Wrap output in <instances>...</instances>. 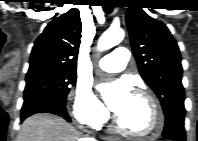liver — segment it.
Segmentation results:
<instances>
[{"mask_svg": "<svg viewBox=\"0 0 198 141\" xmlns=\"http://www.w3.org/2000/svg\"><path fill=\"white\" fill-rule=\"evenodd\" d=\"M17 141H85L77 130L64 119L48 113L27 118L20 129Z\"/></svg>", "mask_w": 198, "mask_h": 141, "instance_id": "1", "label": "liver"}]
</instances>
